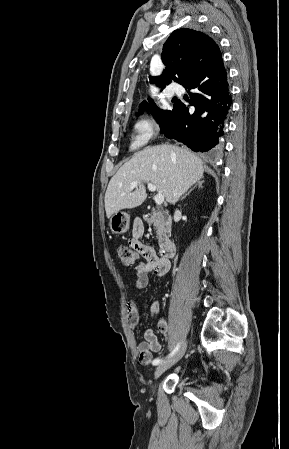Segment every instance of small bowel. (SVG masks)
<instances>
[{
  "mask_svg": "<svg viewBox=\"0 0 289 449\" xmlns=\"http://www.w3.org/2000/svg\"><path fill=\"white\" fill-rule=\"evenodd\" d=\"M144 232V225L140 219L133 222L131 237L129 238V245H131L143 258L144 261L139 262L135 266L136 279L135 287L139 290L145 289L149 284V276L154 275L158 278L164 277L170 270V262L168 259L157 256L155 250L144 244L141 237ZM128 321L131 328L135 329L139 323V311L136 301L133 299L127 300ZM161 311L159 301H153L149 307L151 316H157ZM158 329L160 333L168 338V324L164 319L158 322ZM144 340L138 345V353L140 363L149 365L153 363V353L161 350V344L153 329L148 328L144 331Z\"/></svg>",
  "mask_w": 289,
  "mask_h": 449,
  "instance_id": "1",
  "label": "small bowel"
}]
</instances>
